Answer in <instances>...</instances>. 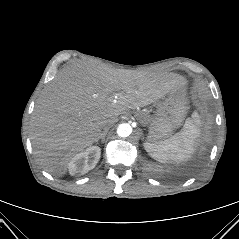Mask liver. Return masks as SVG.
I'll list each match as a JSON object with an SVG mask.
<instances>
[{
    "label": "liver",
    "mask_w": 239,
    "mask_h": 239,
    "mask_svg": "<svg viewBox=\"0 0 239 239\" xmlns=\"http://www.w3.org/2000/svg\"><path fill=\"white\" fill-rule=\"evenodd\" d=\"M176 74L114 70L92 64L63 69L41 94L31 120L40 165L63 176L70 160L101 135L102 123L186 88Z\"/></svg>",
    "instance_id": "6515ba94"
}]
</instances>
